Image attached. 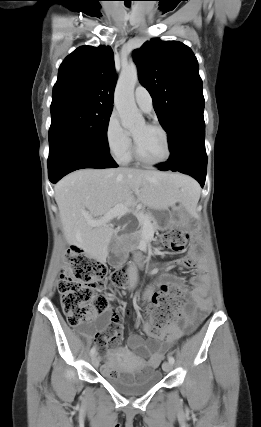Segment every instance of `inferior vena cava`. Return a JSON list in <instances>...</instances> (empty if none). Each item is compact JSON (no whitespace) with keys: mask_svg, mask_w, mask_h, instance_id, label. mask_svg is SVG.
Masks as SVG:
<instances>
[{"mask_svg":"<svg viewBox=\"0 0 261 427\" xmlns=\"http://www.w3.org/2000/svg\"><path fill=\"white\" fill-rule=\"evenodd\" d=\"M128 276H129V284L130 286H135L138 281V274L137 270L134 267H129L128 270Z\"/></svg>","mask_w":261,"mask_h":427,"instance_id":"1","label":"inferior vena cava"}]
</instances>
